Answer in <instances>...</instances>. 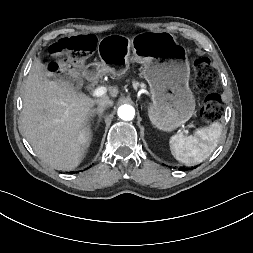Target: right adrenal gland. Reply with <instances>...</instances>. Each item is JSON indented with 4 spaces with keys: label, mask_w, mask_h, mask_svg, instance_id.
Wrapping results in <instances>:
<instances>
[{
    "label": "right adrenal gland",
    "mask_w": 253,
    "mask_h": 253,
    "mask_svg": "<svg viewBox=\"0 0 253 253\" xmlns=\"http://www.w3.org/2000/svg\"><path fill=\"white\" fill-rule=\"evenodd\" d=\"M105 108H96V109H93L92 111V114L90 116V121L93 120V118L96 116V114L98 115V121H97V124L99 125L100 121H101V118H102V115H103V112H104ZM97 125V126H98ZM89 128H90V125H89Z\"/></svg>",
    "instance_id": "1"
}]
</instances>
